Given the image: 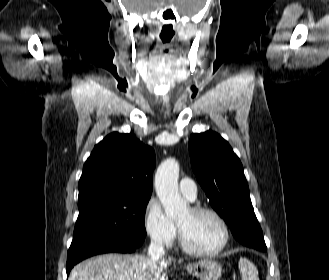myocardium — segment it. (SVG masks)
I'll return each instance as SVG.
<instances>
[{
	"mask_svg": "<svg viewBox=\"0 0 329 280\" xmlns=\"http://www.w3.org/2000/svg\"><path fill=\"white\" fill-rule=\"evenodd\" d=\"M190 211L193 214H207L212 216L220 225L223 233V238L220 243V245L213 249V250H198L188 244L186 241L184 234L181 230V227L177 225L178 228V236H179V242L180 246L185 251L186 253L192 255V256H197V257H214L222 253L227 245L229 244L230 241V230L227 222L225 219L222 217V215L216 211L213 208L206 207V206H200V205H195L190 207Z\"/></svg>",
	"mask_w": 329,
	"mask_h": 280,
	"instance_id": "1",
	"label": "myocardium"
}]
</instances>
